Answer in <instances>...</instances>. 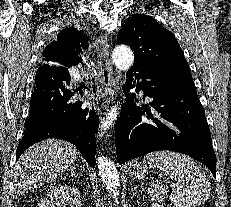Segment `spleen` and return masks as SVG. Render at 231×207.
I'll return each mask as SVG.
<instances>
[{"label": "spleen", "instance_id": "1", "mask_svg": "<svg viewBox=\"0 0 231 207\" xmlns=\"http://www.w3.org/2000/svg\"><path fill=\"white\" fill-rule=\"evenodd\" d=\"M143 163L150 168H158L173 188L171 201L176 207L197 206L210 196L211 185L201 167L183 154L169 151L153 152L145 156ZM168 187L156 180L148 188V194L154 200L164 201Z\"/></svg>", "mask_w": 231, "mask_h": 207}]
</instances>
